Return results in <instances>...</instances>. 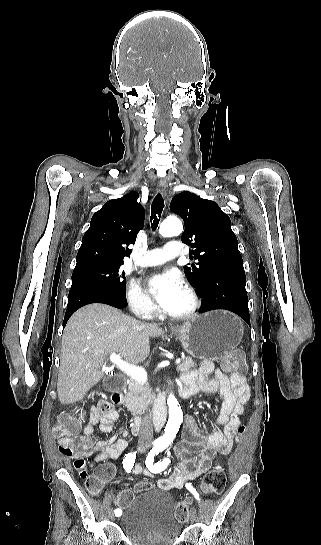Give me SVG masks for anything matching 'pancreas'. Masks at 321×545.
<instances>
[{"mask_svg": "<svg viewBox=\"0 0 321 545\" xmlns=\"http://www.w3.org/2000/svg\"><path fill=\"white\" fill-rule=\"evenodd\" d=\"M193 367H196L195 361L191 357H186L183 363L177 367L179 373H189ZM128 393L125 397L126 407L132 415H142L151 403L152 389L149 383H138L135 379H128Z\"/></svg>", "mask_w": 321, "mask_h": 545, "instance_id": "cf45deb5", "label": "pancreas"}]
</instances>
